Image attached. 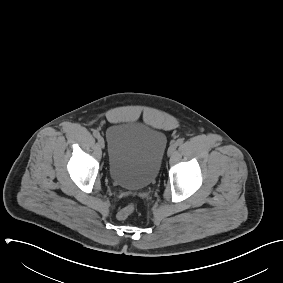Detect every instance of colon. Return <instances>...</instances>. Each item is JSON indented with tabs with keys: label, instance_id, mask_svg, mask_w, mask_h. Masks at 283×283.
I'll return each instance as SVG.
<instances>
[{
	"label": "colon",
	"instance_id": "5ec220e1",
	"mask_svg": "<svg viewBox=\"0 0 283 283\" xmlns=\"http://www.w3.org/2000/svg\"><path fill=\"white\" fill-rule=\"evenodd\" d=\"M135 210V205L133 203L127 205L126 207L122 208L118 214L117 217L120 220H124L127 217H129Z\"/></svg>",
	"mask_w": 283,
	"mask_h": 283
}]
</instances>
